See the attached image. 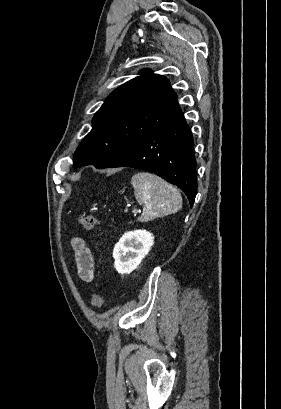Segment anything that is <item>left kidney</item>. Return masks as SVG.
<instances>
[{
    "mask_svg": "<svg viewBox=\"0 0 281 409\" xmlns=\"http://www.w3.org/2000/svg\"><path fill=\"white\" fill-rule=\"evenodd\" d=\"M154 237L148 231H129L124 233L113 249L114 267L121 275H129L137 269L145 255H148Z\"/></svg>",
    "mask_w": 281,
    "mask_h": 409,
    "instance_id": "left-kidney-1",
    "label": "left kidney"
}]
</instances>
